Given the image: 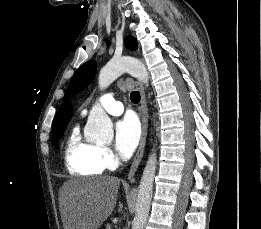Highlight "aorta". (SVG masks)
I'll return each mask as SVG.
<instances>
[{"label":"aorta","instance_id":"762f6f07","mask_svg":"<svg viewBox=\"0 0 261 229\" xmlns=\"http://www.w3.org/2000/svg\"><path fill=\"white\" fill-rule=\"evenodd\" d=\"M128 72L132 76H136L143 82H148V70L139 60L133 56H119V58H111L99 72V86L105 88L109 86L113 80H116L120 74ZM87 125L89 127L88 135L90 139H94L96 143H101L104 139H109L113 135V125L111 119L101 104H95L90 110ZM157 153L152 149V153L145 165L142 173L140 185L138 187L136 213L132 221V229H144V225L149 217L153 185L156 173Z\"/></svg>","mask_w":261,"mask_h":229}]
</instances>
